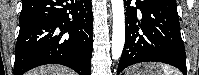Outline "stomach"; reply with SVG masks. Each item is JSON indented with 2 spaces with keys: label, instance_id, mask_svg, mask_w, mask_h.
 I'll use <instances>...</instances> for the list:
<instances>
[{
  "label": "stomach",
  "instance_id": "1",
  "mask_svg": "<svg viewBox=\"0 0 199 75\" xmlns=\"http://www.w3.org/2000/svg\"><path fill=\"white\" fill-rule=\"evenodd\" d=\"M157 68L154 64H139L127 69L125 75H156Z\"/></svg>",
  "mask_w": 199,
  "mask_h": 75
}]
</instances>
